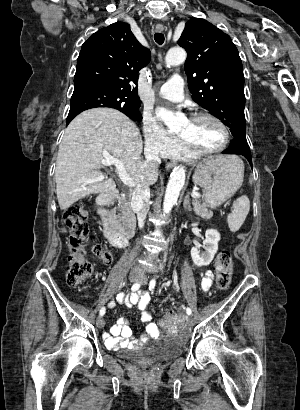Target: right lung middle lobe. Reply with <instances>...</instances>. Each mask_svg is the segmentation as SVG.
I'll use <instances>...</instances> for the list:
<instances>
[{"label":"right lung middle lobe","mask_w":300,"mask_h":410,"mask_svg":"<svg viewBox=\"0 0 300 410\" xmlns=\"http://www.w3.org/2000/svg\"><path fill=\"white\" fill-rule=\"evenodd\" d=\"M140 105L135 104L126 95L112 89L96 84L80 83L74 85L67 119L90 108L111 107L123 112L131 119L141 121L142 116L138 110Z\"/></svg>","instance_id":"obj_1"}]
</instances>
